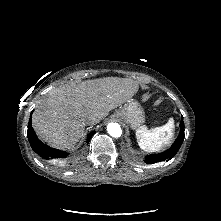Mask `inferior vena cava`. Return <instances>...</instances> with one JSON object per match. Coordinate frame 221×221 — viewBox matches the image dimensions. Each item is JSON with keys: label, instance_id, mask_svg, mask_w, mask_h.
<instances>
[{"label": "inferior vena cava", "instance_id": "1", "mask_svg": "<svg viewBox=\"0 0 221 221\" xmlns=\"http://www.w3.org/2000/svg\"><path fill=\"white\" fill-rule=\"evenodd\" d=\"M84 123L87 124V125H90L92 122H91L90 119H86V120L84 121Z\"/></svg>", "mask_w": 221, "mask_h": 221}]
</instances>
